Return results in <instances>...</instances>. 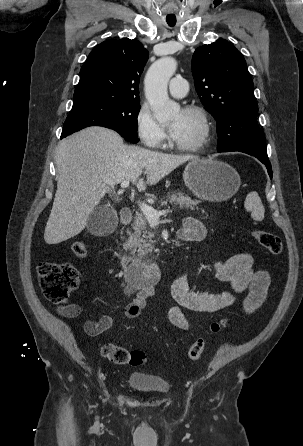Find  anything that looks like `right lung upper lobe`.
<instances>
[{
  "label": "right lung upper lobe",
  "mask_w": 303,
  "mask_h": 446,
  "mask_svg": "<svg viewBox=\"0 0 303 446\" xmlns=\"http://www.w3.org/2000/svg\"><path fill=\"white\" fill-rule=\"evenodd\" d=\"M148 51L138 40L110 39L97 45L80 70L73 107L109 101L139 102L138 84Z\"/></svg>",
  "instance_id": "obj_1"
}]
</instances>
